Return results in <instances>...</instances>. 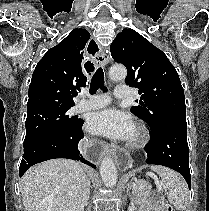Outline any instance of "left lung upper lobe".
<instances>
[{"mask_svg":"<svg viewBox=\"0 0 209 211\" xmlns=\"http://www.w3.org/2000/svg\"><path fill=\"white\" fill-rule=\"evenodd\" d=\"M110 51L115 62L126 66L127 85L142 94L131 112L149 125L151 134L166 123L186 120L184 91L164 52L131 28L117 34Z\"/></svg>","mask_w":209,"mask_h":211,"instance_id":"1","label":"left lung upper lobe"}]
</instances>
